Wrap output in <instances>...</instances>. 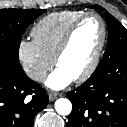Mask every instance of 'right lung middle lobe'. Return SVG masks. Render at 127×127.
Returning a JSON list of instances; mask_svg holds the SVG:
<instances>
[{
    "label": "right lung middle lobe",
    "instance_id": "obj_1",
    "mask_svg": "<svg viewBox=\"0 0 127 127\" xmlns=\"http://www.w3.org/2000/svg\"><path fill=\"white\" fill-rule=\"evenodd\" d=\"M43 9L0 10V56L19 63V46L22 34L29 24L44 13Z\"/></svg>",
    "mask_w": 127,
    "mask_h": 127
}]
</instances>
